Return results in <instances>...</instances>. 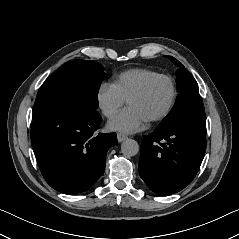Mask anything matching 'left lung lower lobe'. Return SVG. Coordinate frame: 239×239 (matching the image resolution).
Returning a JSON list of instances; mask_svg holds the SVG:
<instances>
[{
  "mask_svg": "<svg viewBox=\"0 0 239 239\" xmlns=\"http://www.w3.org/2000/svg\"><path fill=\"white\" fill-rule=\"evenodd\" d=\"M206 151L204 117L191 116L143 137L139 173L155 193L171 195L194 179Z\"/></svg>",
  "mask_w": 239,
  "mask_h": 239,
  "instance_id": "0a47b994",
  "label": "left lung lower lobe"
}]
</instances>
